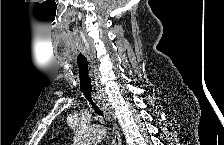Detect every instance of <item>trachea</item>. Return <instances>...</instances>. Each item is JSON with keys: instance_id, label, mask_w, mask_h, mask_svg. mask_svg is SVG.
Instances as JSON below:
<instances>
[{"instance_id": "3493384b", "label": "trachea", "mask_w": 224, "mask_h": 145, "mask_svg": "<svg viewBox=\"0 0 224 145\" xmlns=\"http://www.w3.org/2000/svg\"><path fill=\"white\" fill-rule=\"evenodd\" d=\"M78 76L80 81V90L85 95L86 99L90 102L92 107L94 108L95 112L100 116L102 112L100 108L97 106V102L93 99V92L92 89V80L89 75V68H88V61L85 56L81 53L78 56Z\"/></svg>"}]
</instances>
